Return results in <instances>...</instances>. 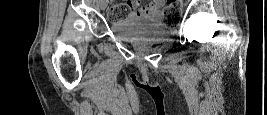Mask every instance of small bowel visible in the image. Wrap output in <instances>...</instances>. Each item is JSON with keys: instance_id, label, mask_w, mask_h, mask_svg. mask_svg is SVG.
<instances>
[{"instance_id": "small-bowel-1", "label": "small bowel", "mask_w": 267, "mask_h": 115, "mask_svg": "<svg viewBox=\"0 0 267 115\" xmlns=\"http://www.w3.org/2000/svg\"><path fill=\"white\" fill-rule=\"evenodd\" d=\"M163 4V0H154L146 5H141L138 1H134L131 3L132 13L136 15H159Z\"/></svg>"}]
</instances>
